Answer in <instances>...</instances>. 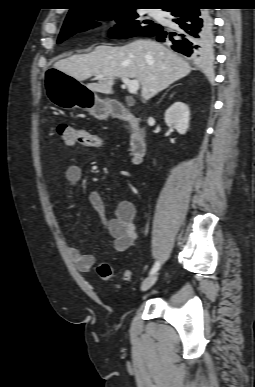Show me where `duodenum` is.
<instances>
[{
	"label": "duodenum",
	"mask_w": 255,
	"mask_h": 387,
	"mask_svg": "<svg viewBox=\"0 0 255 387\" xmlns=\"http://www.w3.org/2000/svg\"><path fill=\"white\" fill-rule=\"evenodd\" d=\"M110 113L113 117L123 119L129 123L132 129L130 136V157L133 164H139L146 153V142L143 130L140 128L137 119L127 114L119 104H112Z\"/></svg>",
	"instance_id": "obj_1"
}]
</instances>
